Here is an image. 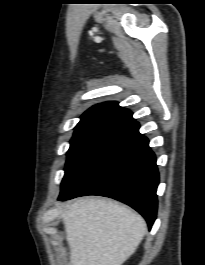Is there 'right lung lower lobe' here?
<instances>
[{"mask_svg":"<svg viewBox=\"0 0 205 265\" xmlns=\"http://www.w3.org/2000/svg\"><path fill=\"white\" fill-rule=\"evenodd\" d=\"M139 127L138 122L129 125L58 199L114 198L137 210L151 229L157 213L159 174L155 154Z\"/></svg>","mask_w":205,"mask_h":265,"instance_id":"98d812e1","label":"right lung lower lobe"}]
</instances>
